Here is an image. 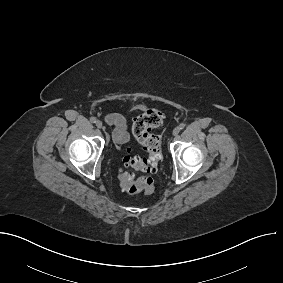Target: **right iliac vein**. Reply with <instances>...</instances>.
<instances>
[{
	"label": "right iliac vein",
	"mask_w": 283,
	"mask_h": 283,
	"mask_svg": "<svg viewBox=\"0 0 283 283\" xmlns=\"http://www.w3.org/2000/svg\"><path fill=\"white\" fill-rule=\"evenodd\" d=\"M96 126H97L98 128H102V122H101V121H97V122H96Z\"/></svg>",
	"instance_id": "1"
}]
</instances>
